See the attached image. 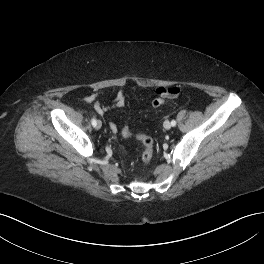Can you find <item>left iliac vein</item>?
<instances>
[{"mask_svg": "<svg viewBox=\"0 0 264 264\" xmlns=\"http://www.w3.org/2000/svg\"><path fill=\"white\" fill-rule=\"evenodd\" d=\"M163 125H164V128L167 130H169L172 127L171 123L168 120L165 121Z\"/></svg>", "mask_w": 264, "mask_h": 264, "instance_id": "1", "label": "left iliac vein"}]
</instances>
